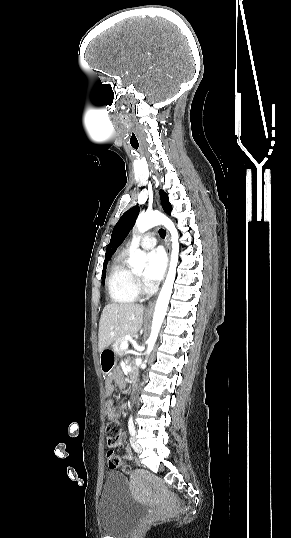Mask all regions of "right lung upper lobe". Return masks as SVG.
Returning <instances> with one entry per match:
<instances>
[{"mask_svg":"<svg viewBox=\"0 0 291 538\" xmlns=\"http://www.w3.org/2000/svg\"><path fill=\"white\" fill-rule=\"evenodd\" d=\"M110 256H111V255H110V247H109V245H108L107 248H106V256H105V261H104V263H105V262H108Z\"/></svg>","mask_w":291,"mask_h":538,"instance_id":"obj_1","label":"right lung upper lobe"}]
</instances>
